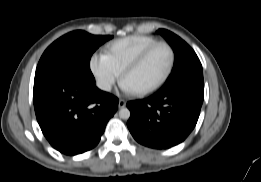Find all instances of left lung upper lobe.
<instances>
[{"label": "left lung upper lobe", "mask_w": 261, "mask_h": 182, "mask_svg": "<svg viewBox=\"0 0 261 182\" xmlns=\"http://www.w3.org/2000/svg\"><path fill=\"white\" fill-rule=\"evenodd\" d=\"M157 32L168 41L175 53L173 70L160 91H168L188 81L203 79L202 65L194 50L168 30L159 29Z\"/></svg>", "instance_id": "left-lung-upper-lobe-1"}]
</instances>
